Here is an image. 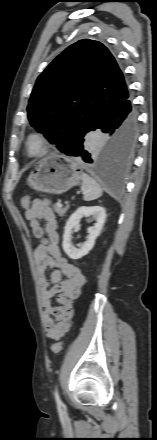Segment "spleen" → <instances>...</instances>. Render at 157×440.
I'll list each match as a JSON object with an SVG mask.
<instances>
[{"mask_svg": "<svg viewBox=\"0 0 157 440\" xmlns=\"http://www.w3.org/2000/svg\"><path fill=\"white\" fill-rule=\"evenodd\" d=\"M81 191L83 192V200L92 201L102 196L100 185L86 173L81 174Z\"/></svg>", "mask_w": 157, "mask_h": 440, "instance_id": "obj_1", "label": "spleen"}]
</instances>
